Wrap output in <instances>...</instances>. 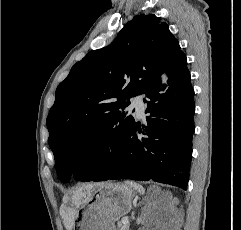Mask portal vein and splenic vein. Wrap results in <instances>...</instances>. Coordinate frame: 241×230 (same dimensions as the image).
<instances>
[{
  "instance_id": "1",
  "label": "portal vein and splenic vein",
  "mask_w": 241,
  "mask_h": 230,
  "mask_svg": "<svg viewBox=\"0 0 241 230\" xmlns=\"http://www.w3.org/2000/svg\"><path fill=\"white\" fill-rule=\"evenodd\" d=\"M122 224L125 226V225H128L129 224V221L127 218H123L122 219Z\"/></svg>"
}]
</instances>
